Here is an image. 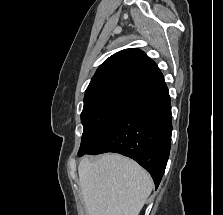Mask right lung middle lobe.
I'll list each match as a JSON object with an SVG mask.
<instances>
[{"label":"right lung middle lobe","mask_w":223,"mask_h":215,"mask_svg":"<svg viewBox=\"0 0 223 215\" xmlns=\"http://www.w3.org/2000/svg\"><path fill=\"white\" fill-rule=\"evenodd\" d=\"M144 96L126 90L106 92L84 101L83 134L78 155L93 148L114 124Z\"/></svg>","instance_id":"obj_1"}]
</instances>
